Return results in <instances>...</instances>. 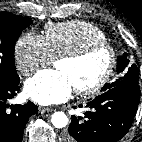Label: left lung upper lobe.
<instances>
[{
  "instance_id": "obj_1",
  "label": "left lung upper lobe",
  "mask_w": 142,
  "mask_h": 142,
  "mask_svg": "<svg viewBox=\"0 0 142 142\" xmlns=\"http://www.w3.org/2000/svg\"><path fill=\"white\" fill-rule=\"evenodd\" d=\"M117 73H120L119 78L116 81L112 82L111 84L109 83L105 84L101 90L102 92H105L111 88L129 83V82L138 83L139 81V73H138L137 66L130 63V61L127 59L126 53L118 57Z\"/></svg>"
}]
</instances>
